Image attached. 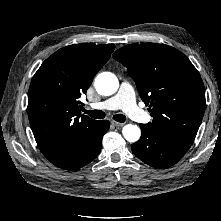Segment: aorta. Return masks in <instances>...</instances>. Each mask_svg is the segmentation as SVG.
<instances>
[{"label": "aorta", "instance_id": "1", "mask_svg": "<svg viewBox=\"0 0 221 221\" xmlns=\"http://www.w3.org/2000/svg\"><path fill=\"white\" fill-rule=\"evenodd\" d=\"M96 91L103 96L113 95L119 87L117 77L111 72L100 73L94 82ZM124 138L129 142H136L141 136V130L138 126L127 124L122 129Z\"/></svg>", "mask_w": 221, "mask_h": 221}]
</instances>
